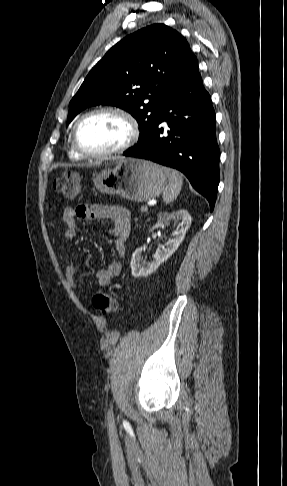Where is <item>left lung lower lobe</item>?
Instances as JSON below:
<instances>
[{
  "mask_svg": "<svg viewBox=\"0 0 287 486\" xmlns=\"http://www.w3.org/2000/svg\"><path fill=\"white\" fill-rule=\"evenodd\" d=\"M167 122L164 129L162 123ZM124 156L150 160L181 171L214 208L219 184L215 111L197 68L169 92L148 133Z\"/></svg>",
  "mask_w": 287,
  "mask_h": 486,
  "instance_id": "0a47b994",
  "label": "left lung lower lobe"
}]
</instances>
